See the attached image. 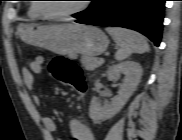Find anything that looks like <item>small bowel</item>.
Returning a JSON list of instances; mask_svg holds the SVG:
<instances>
[{"label":"small bowel","mask_w":182,"mask_h":140,"mask_svg":"<svg viewBox=\"0 0 182 140\" xmlns=\"http://www.w3.org/2000/svg\"><path fill=\"white\" fill-rule=\"evenodd\" d=\"M48 61L47 57L43 55L36 56L27 67H23L21 71L22 80L24 85L31 89L34 84V74L41 72L43 65ZM33 102L40 105V98L36 95L33 96ZM45 131L51 140H62L56 137L57 126L55 121L48 115L41 117ZM69 130L74 140H95L92 130L83 124L77 116H72L69 120Z\"/></svg>","instance_id":"small-bowel-1"}]
</instances>
